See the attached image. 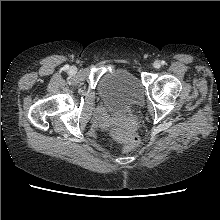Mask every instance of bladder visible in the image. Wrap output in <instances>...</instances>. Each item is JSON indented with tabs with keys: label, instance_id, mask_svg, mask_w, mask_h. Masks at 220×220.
<instances>
[{
	"label": "bladder",
	"instance_id": "1",
	"mask_svg": "<svg viewBox=\"0 0 220 220\" xmlns=\"http://www.w3.org/2000/svg\"><path fill=\"white\" fill-rule=\"evenodd\" d=\"M98 92L111 112L119 116L128 115L144 98L142 84L125 69L105 74L99 82Z\"/></svg>",
	"mask_w": 220,
	"mask_h": 220
}]
</instances>
